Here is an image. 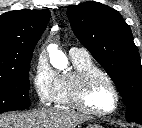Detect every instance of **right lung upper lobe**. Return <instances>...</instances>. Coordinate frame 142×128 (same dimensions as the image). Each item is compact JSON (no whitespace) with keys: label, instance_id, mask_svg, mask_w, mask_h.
<instances>
[{"label":"right lung upper lobe","instance_id":"1","mask_svg":"<svg viewBox=\"0 0 142 128\" xmlns=\"http://www.w3.org/2000/svg\"><path fill=\"white\" fill-rule=\"evenodd\" d=\"M49 19L48 10H14L0 16V72L31 60Z\"/></svg>","mask_w":142,"mask_h":128}]
</instances>
